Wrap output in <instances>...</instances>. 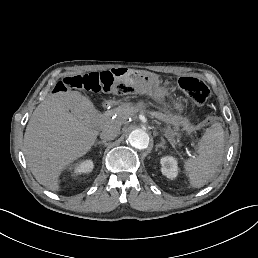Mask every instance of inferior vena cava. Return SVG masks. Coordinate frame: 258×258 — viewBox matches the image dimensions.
Masks as SVG:
<instances>
[{"mask_svg": "<svg viewBox=\"0 0 258 258\" xmlns=\"http://www.w3.org/2000/svg\"><path fill=\"white\" fill-rule=\"evenodd\" d=\"M119 133H120V128H118L112 124H109L100 133V138L103 140H112L115 137H117V135H119Z\"/></svg>", "mask_w": 258, "mask_h": 258, "instance_id": "602c4592", "label": "inferior vena cava"}]
</instances>
